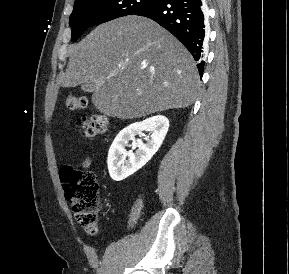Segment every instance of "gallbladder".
<instances>
[{
  "label": "gallbladder",
  "instance_id": "obj_1",
  "mask_svg": "<svg viewBox=\"0 0 289 274\" xmlns=\"http://www.w3.org/2000/svg\"><path fill=\"white\" fill-rule=\"evenodd\" d=\"M93 88V84L92 83H86L82 85V90L84 91H91Z\"/></svg>",
  "mask_w": 289,
  "mask_h": 274
}]
</instances>
